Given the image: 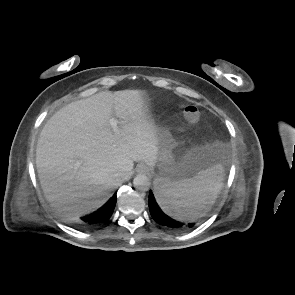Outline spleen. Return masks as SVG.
Returning a JSON list of instances; mask_svg holds the SVG:
<instances>
[{
	"label": "spleen",
	"mask_w": 295,
	"mask_h": 295,
	"mask_svg": "<svg viewBox=\"0 0 295 295\" xmlns=\"http://www.w3.org/2000/svg\"><path fill=\"white\" fill-rule=\"evenodd\" d=\"M224 179L218 164L192 178L155 180V196L162 210L182 221H194L205 215L216 200Z\"/></svg>",
	"instance_id": "spleen-1"
}]
</instances>
